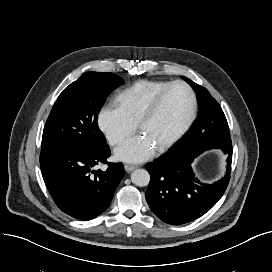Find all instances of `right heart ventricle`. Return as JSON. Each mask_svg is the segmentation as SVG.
I'll return each instance as SVG.
<instances>
[{
	"label": "right heart ventricle",
	"mask_w": 272,
	"mask_h": 272,
	"mask_svg": "<svg viewBox=\"0 0 272 272\" xmlns=\"http://www.w3.org/2000/svg\"><path fill=\"white\" fill-rule=\"evenodd\" d=\"M168 84L161 80H138L118 93L116 103L133 123H138L152 99Z\"/></svg>",
	"instance_id": "obj_1"
}]
</instances>
